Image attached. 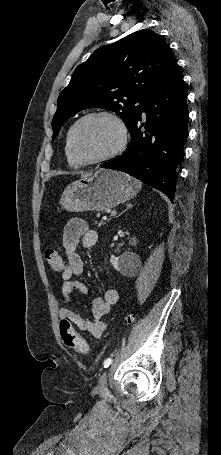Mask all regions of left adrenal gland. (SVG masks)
Instances as JSON below:
<instances>
[{"mask_svg":"<svg viewBox=\"0 0 221 455\" xmlns=\"http://www.w3.org/2000/svg\"><path fill=\"white\" fill-rule=\"evenodd\" d=\"M132 207H133V205L127 204L126 209H125L123 212H121V213L119 214V216H120L121 214H123L124 212H126L128 209L132 208Z\"/></svg>","mask_w":221,"mask_h":455,"instance_id":"left-adrenal-gland-1","label":"left adrenal gland"}]
</instances>
